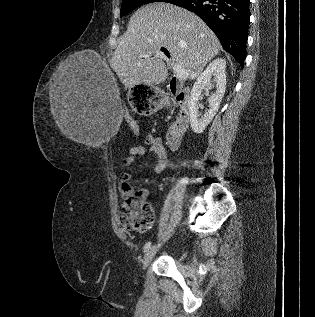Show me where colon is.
Returning <instances> with one entry per match:
<instances>
[{"label":"colon","instance_id":"colon-1","mask_svg":"<svg viewBox=\"0 0 315 317\" xmlns=\"http://www.w3.org/2000/svg\"><path fill=\"white\" fill-rule=\"evenodd\" d=\"M135 133H139L138 122L131 116L126 118ZM123 217L127 225L137 230L148 229L155 221L152 205L146 200L142 191H131L128 182L124 184Z\"/></svg>","mask_w":315,"mask_h":317}]
</instances>
